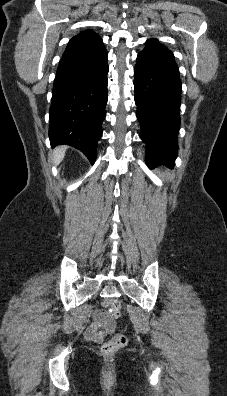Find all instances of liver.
<instances>
[{
	"label": "liver",
	"instance_id": "obj_1",
	"mask_svg": "<svg viewBox=\"0 0 227 396\" xmlns=\"http://www.w3.org/2000/svg\"><path fill=\"white\" fill-rule=\"evenodd\" d=\"M66 146L57 147L53 152L54 164L58 165L64 158Z\"/></svg>",
	"mask_w": 227,
	"mask_h": 396
}]
</instances>
